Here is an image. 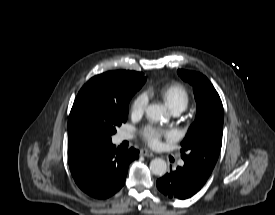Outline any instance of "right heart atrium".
I'll return each mask as SVG.
<instances>
[{"mask_svg": "<svg viewBox=\"0 0 275 215\" xmlns=\"http://www.w3.org/2000/svg\"><path fill=\"white\" fill-rule=\"evenodd\" d=\"M148 104V96L146 93L142 92L136 95L131 103V114L133 116H140L142 115L147 107Z\"/></svg>", "mask_w": 275, "mask_h": 215, "instance_id": "right-heart-atrium-1", "label": "right heart atrium"}]
</instances>
